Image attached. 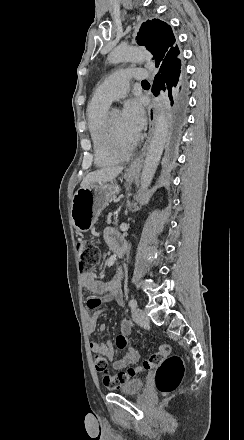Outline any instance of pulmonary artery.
I'll list each match as a JSON object with an SVG mask.
<instances>
[{"mask_svg":"<svg viewBox=\"0 0 244 440\" xmlns=\"http://www.w3.org/2000/svg\"><path fill=\"white\" fill-rule=\"evenodd\" d=\"M148 69H113L108 77V82L100 83V90H94L93 102L111 104L114 100L125 96L128 78H148Z\"/></svg>","mask_w":244,"mask_h":440,"instance_id":"pulmonary-artery-1","label":"pulmonary artery"}]
</instances>
